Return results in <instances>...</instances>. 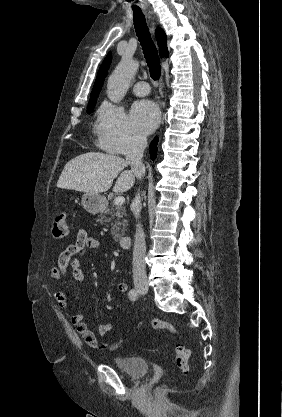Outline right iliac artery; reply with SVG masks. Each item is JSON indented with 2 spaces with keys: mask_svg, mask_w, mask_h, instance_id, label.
<instances>
[{
  "mask_svg": "<svg viewBox=\"0 0 282 417\" xmlns=\"http://www.w3.org/2000/svg\"><path fill=\"white\" fill-rule=\"evenodd\" d=\"M128 295L131 301H136L139 296V292L136 289H131Z\"/></svg>",
  "mask_w": 282,
  "mask_h": 417,
  "instance_id": "obj_1",
  "label": "right iliac artery"
}]
</instances>
